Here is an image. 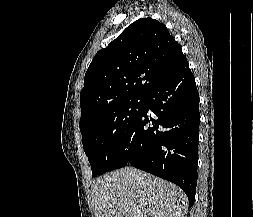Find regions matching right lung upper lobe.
I'll use <instances>...</instances> for the list:
<instances>
[{
    "label": "right lung upper lobe",
    "mask_w": 253,
    "mask_h": 217,
    "mask_svg": "<svg viewBox=\"0 0 253 217\" xmlns=\"http://www.w3.org/2000/svg\"><path fill=\"white\" fill-rule=\"evenodd\" d=\"M185 60L164 24L135 21L93 58L80 93L79 125L116 103L145 97Z\"/></svg>",
    "instance_id": "obj_1"
}]
</instances>
